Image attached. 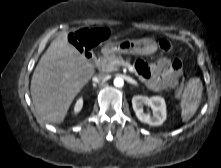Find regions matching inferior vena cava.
<instances>
[{
	"instance_id": "obj_1",
	"label": "inferior vena cava",
	"mask_w": 221,
	"mask_h": 168,
	"mask_svg": "<svg viewBox=\"0 0 221 168\" xmlns=\"http://www.w3.org/2000/svg\"><path fill=\"white\" fill-rule=\"evenodd\" d=\"M107 77H108L107 73H99V74L94 76L93 80L95 82H100V81L106 80Z\"/></svg>"
}]
</instances>
